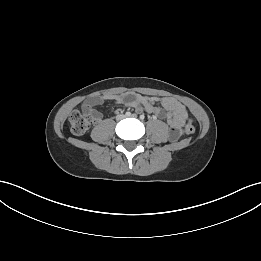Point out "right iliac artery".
Listing matches in <instances>:
<instances>
[{"mask_svg":"<svg viewBox=\"0 0 261 261\" xmlns=\"http://www.w3.org/2000/svg\"><path fill=\"white\" fill-rule=\"evenodd\" d=\"M125 115H126L127 117H129V116H131V112L128 111V112L125 113Z\"/></svg>","mask_w":261,"mask_h":261,"instance_id":"right-iliac-artery-1","label":"right iliac artery"}]
</instances>
